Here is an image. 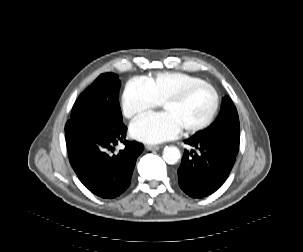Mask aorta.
Masks as SVG:
<instances>
[{
  "label": "aorta",
  "mask_w": 303,
  "mask_h": 252,
  "mask_svg": "<svg viewBox=\"0 0 303 252\" xmlns=\"http://www.w3.org/2000/svg\"><path fill=\"white\" fill-rule=\"evenodd\" d=\"M163 157L168 163L174 164L180 158V151L175 146H167L164 149Z\"/></svg>",
  "instance_id": "762f6f07"
}]
</instances>
